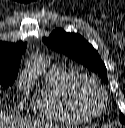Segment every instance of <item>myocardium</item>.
I'll return each mask as SVG.
<instances>
[{
  "label": "myocardium",
  "mask_w": 125,
  "mask_h": 128,
  "mask_svg": "<svg viewBox=\"0 0 125 128\" xmlns=\"http://www.w3.org/2000/svg\"><path fill=\"white\" fill-rule=\"evenodd\" d=\"M88 88L94 89L99 94L101 101L99 109H93L90 101L88 100L86 96V90ZM72 94L77 105L88 117H98L106 111L108 95L96 79L80 75L72 86Z\"/></svg>",
  "instance_id": "f54148a6"
}]
</instances>
